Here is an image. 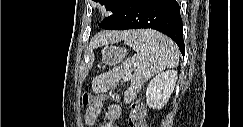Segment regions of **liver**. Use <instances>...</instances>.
I'll return each mask as SVG.
<instances>
[{
    "mask_svg": "<svg viewBox=\"0 0 243 127\" xmlns=\"http://www.w3.org/2000/svg\"><path fill=\"white\" fill-rule=\"evenodd\" d=\"M134 31H128V32H107V33H99L97 34L91 42V45L93 47L106 44L107 42H116L122 39H125L126 37L130 36Z\"/></svg>",
    "mask_w": 243,
    "mask_h": 127,
    "instance_id": "1",
    "label": "liver"
}]
</instances>
